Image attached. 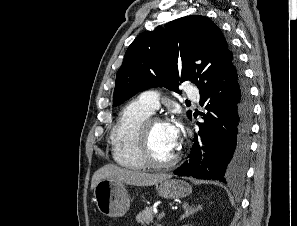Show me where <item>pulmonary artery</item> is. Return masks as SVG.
I'll list each match as a JSON object with an SVG mask.
<instances>
[{
    "instance_id": "obj_1",
    "label": "pulmonary artery",
    "mask_w": 297,
    "mask_h": 226,
    "mask_svg": "<svg viewBox=\"0 0 297 226\" xmlns=\"http://www.w3.org/2000/svg\"><path fill=\"white\" fill-rule=\"evenodd\" d=\"M187 96L193 100H198L199 90L196 87H189L187 90ZM138 99L152 112H154L159 105V94L156 90L143 91L139 95Z\"/></svg>"
}]
</instances>
